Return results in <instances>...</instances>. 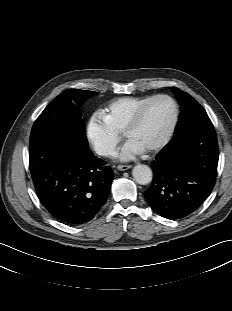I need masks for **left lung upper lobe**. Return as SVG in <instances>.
<instances>
[{"mask_svg": "<svg viewBox=\"0 0 232 311\" xmlns=\"http://www.w3.org/2000/svg\"><path fill=\"white\" fill-rule=\"evenodd\" d=\"M171 89L175 93L181 105V114L176 130L187 124L208 118L204 108L192 96L176 87H172Z\"/></svg>", "mask_w": 232, "mask_h": 311, "instance_id": "obj_1", "label": "left lung upper lobe"}]
</instances>
